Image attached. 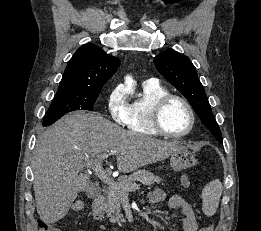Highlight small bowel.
<instances>
[{
    "mask_svg": "<svg viewBox=\"0 0 261 231\" xmlns=\"http://www.w3.org/2000/svg\"><path fill=\"white\" fill-rule=\"evenodd\" d=\"M180 182L182 187L189 188L190 180L188 176L182 175L180 178ZM147 200L150 204H158L165 200V194L162 190H155L151 192ZM168 206L180 212L183 215V231H213L212 227H200L199 223L196 219L194 210L190 202H188L185 198L180 195H173L168 200ZM76 231H83L82 229H78Z\"/></svg>",
    "mask_w": 261,
    "mask_h": 231,
    "instance_id": "obj_1",
    "label": "small bowel"
}]
</instances>
